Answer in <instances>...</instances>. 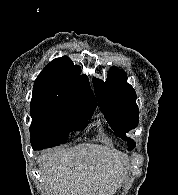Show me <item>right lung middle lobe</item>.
Segmentation results:
<instances>
[{
  "label": "right lung middle lobe",
  "mask_w": 178,
  "mask_h": 195,
  "mask_svg": "<svg viewBox=\"0 0 178 195\" xmlns=\"http://www.w3.org/2000/svg\"><path fill=\"white\" fill-rule=\"evenodd\" d=\"M96 105L87 103L31 102L30 127L33 150H42L65 143L69 132L87 126Z\"/></svg>",
  "instance_id": "obj_1"
}]
</instances>
